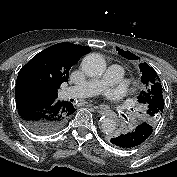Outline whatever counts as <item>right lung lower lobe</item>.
<instances>
[{"instance_id": "1", "label": "right lung lower lobe", "mask_w": 177, "mask_h": 177, "mask_svg": "<svg viewBox=\"0 0 177 177\" xmlns=\"http://www.w3.org/2000/svg\"><path fill=\"white\" fill-rule=\"evenodd\" d=\"M18 113L26 127L39 135L52 134L60 130L75 108L69 102L31 92L15 93Z\"/></svg>"}]
</instances>
